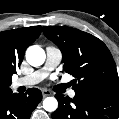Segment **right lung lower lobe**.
<instances>
[{
  "instance_id": "98d812e1",
  "label": "right lung lower lobe",
  "mask_w": 119,
  "mask_h": 119,
  "mask_svg": "<svg viewBox=\"0 0 119 119\" xmlns=\"http://www.w3.org/2000/svg\"><path fill=\"white\" fill-rule=\"evenodd\" d=\"M42 100L39 89L30 88L25 94H12L10 88L0 90V119H29Z\"/></svg>"
}]
</instances>
